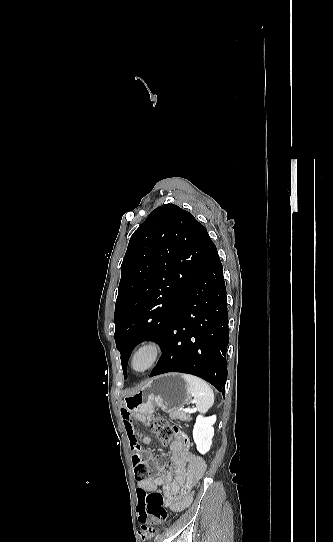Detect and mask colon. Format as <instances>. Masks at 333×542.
<instances>
[{
    "mask_svg": "<svg viewBox=\"0 0 333 542\" xmlns=\"http://www.w3.org/2000/svg\"><path fill=\"white\" fill-rule=\"evenodd\" d=\"M151 430L163 445L171 443L173 436L182 439V444L189 446L187 438H184L185 431L178 428L173 422H168L162 417L151 421ZM152 472L151 465L143 460L135 466V474L138 479L147 478ZM140 506L138 507V521L141 530L153 536L157 532V526L168 518V511L165 507V499L161 491L146 492L143 489L138 491Z\"/></svg>",
    "mask_w": 333,
    "mask_h": 542,
    "instance_id": "5ec220e1",
    "label": "colon"
}]
</instances>
